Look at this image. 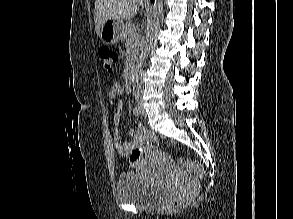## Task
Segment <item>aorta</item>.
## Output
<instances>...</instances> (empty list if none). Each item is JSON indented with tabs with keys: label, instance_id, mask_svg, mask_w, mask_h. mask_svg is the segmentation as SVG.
<instances>
[{
	"label": "aorta",
	"instance_id": "aorta-1",
	"mask_svg": "<svg viewBox=\"0 0 293 219\" xmlns=\"http://www.w3.org/2000/svg\"><path fill=\"white\" fill-rule=\"evenodd\" d=\"M163 1L155 0L153 6V13L148 21L147 31L141 43V53L139 56V62L133 77L134 90L140 92L142 88V67L146 62L151 46L156 38V31L163 17Z\"/></svg>",
	"mask_w": 293,
	"mask_h": 219
}]
</instances>
